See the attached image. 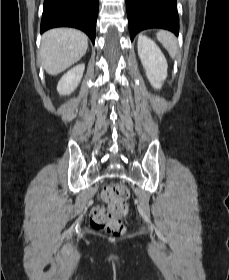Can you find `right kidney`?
Segmentation results:
<instances>
[{
    "mask_svg": "<svg viewBox=\"0 0 229 280\" xmlns=\"http://www.w3.org/2000/svg\"><path fill=\"white\" fill-rule=\"evenodd\" d=\"M85 69L84 64H79L67 73H65L57 85V91L60 95H69L71 94L79 85L83 72Z\"/></svg>",
    "mask_w": 229,
    "mask_h": 280,
    "instance_id": "ca27d5eb",
    "label": "right kidney"
}]
</instances>
